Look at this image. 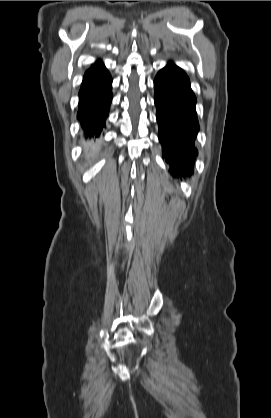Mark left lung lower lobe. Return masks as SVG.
<instances>
[{
	"label": "left lung lower lobe",
	"instance_id": "1",
	"mask_svg": "<svg viewBox=\"0 0 271 418\" xmlns=\"http://www.w3.org/2000/svg\"><path fill=\"white\" fill-rule=\"evenodd\" d=\"M154 88L163 158L170 163L173 175L190 176L197 155L194 140L199 123L189 78L181 68L170 63L156 75Z\"/></svg>",
	"mask_w": 271,
	"mask_h": 418
}]
</instances>
